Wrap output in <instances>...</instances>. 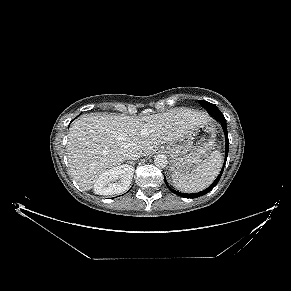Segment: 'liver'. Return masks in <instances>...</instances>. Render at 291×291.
Masks as SVG:
<instances>
[{
    "instance_id": "liver-1",
    "label": "liver",
    "mask_w": 291,
    "mask_h": 291,
    "mask_svg": "<svg viewBox=\"0 0 291 291\" xmlns=\"http://www.w3.org/2000/svg\"><path fill=\"white\" fill-rule=\"evenodd\" d=\"M210 120L208 114L189 108L136 118L110 114L82 116L68 134L71 175L88 191L100 175L124 162L128 147L137 146L143 156H148L159 146L179 141Z\"/></svg>"
}]
</instances>
